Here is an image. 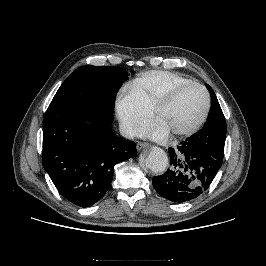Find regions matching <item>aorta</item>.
<instances>
[{"label": "aorta", "instance_id": "1", "mask_svg": "<svg viewBox=\"0 0 266 266\" xmlns=\"http://www.w3.org/2000/svg\"><path fill=\"white\" fill-rule=\"evenodd\" d=\"M146 167L155 173L164 172L168 166V157L159 147H153L145 159Z\"/></svg>", "mask_w": 266, "mask_h": 266}]
</instances>
